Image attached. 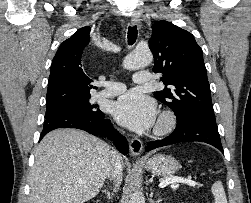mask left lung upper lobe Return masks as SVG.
Segmentation results:
<instances>
[{"instance_id":"5c2ea615","label":"left lung upper lobe","mask_w":251,"mask_h":203,"mask_svg":"<svg viewBox=\"0 0 251 203\" xmlns=\"http://www.w3.org/2000/svg\"><path fill=\"white\" fill-rule=\"evenodd\" d=\"M149 48L154 56L153 72L162 73L160 80L165 84L154 97L174 111L177 124L193 118L216 122L202 49L193 35L158 21L152 26Z\"/></svg>"}]
</instances>
